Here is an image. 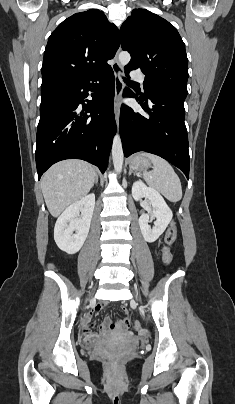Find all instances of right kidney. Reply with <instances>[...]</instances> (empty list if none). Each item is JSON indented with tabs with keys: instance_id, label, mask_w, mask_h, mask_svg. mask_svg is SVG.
Returning a JSON list of instances; mask_svg holds the SVG:
<instances>
[{
	"instance_id": "right-kidney-1",
	"label": "right kidney",
	"mask_w": 235,
	"mask_h": 404,
	"mask_svg": "<svg viewBox=\"0 0 235 404\" xmlns=\"http://www.w3.org/2000/svg\"><path fill=\"white\" fill-rule=\"evenodd\" d=\"M94 207L92 193L71 204L57 219L54 239L62 251L75 254L81 249L89 233ZM80 212L81 218H78Z\"/></svg>"
}]
</instances>
